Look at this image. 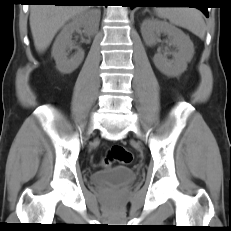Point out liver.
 Instances as JSON below:
<instances>
[{"label":"liver","instance_id":"obj_1","mask_svg":"<svg viewBox=\"0 0 231 231\" xmlns=\"http://www.w3.org/2000/svg\"><path fill=\"white\" fill-rule=\"evenodd\" d=\"M87 10L88 6L83 5H33L30 28L36 50L45 51L67 21Z\"/></svg>","mask_w":231,"mask_h":231}]
</instances>
